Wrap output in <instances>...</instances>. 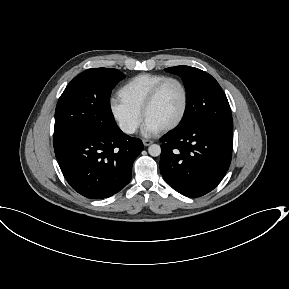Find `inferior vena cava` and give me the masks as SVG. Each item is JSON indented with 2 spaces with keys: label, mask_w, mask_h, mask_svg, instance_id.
I'll use <instances>...</instances> for the list:
<instances>
[{
  "label": "inferior vena cava",
  "mask_w": 289,
  "mask_h": 289,
  "mask_svg": "<svg viewBox=\"0 0 289 289\" xmlns=\"http://www.w3.org/2000/svg\"><path fill=\"white\" fill-rule=\"evenodd\" d=\"M120 128L124 133L127 134H132L136 131V125L134 124H122Z\"/></svg>",
  "instance_id": "602c4592"
}]
</instances>
